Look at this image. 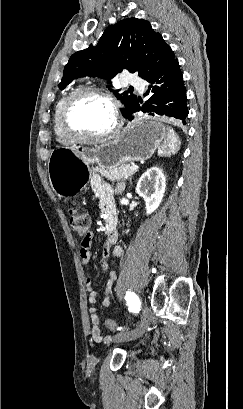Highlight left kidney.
<instances>
[{"instance_id": "obj_1", "label": "left kidney", "mask_w": 243, "mask_h": 409, "mask_svg": "<svg viewBox=\"0 0 243 409\" xmlns=\"http://www.w3.org/2000/svg\"><path fill=\"white\" fill-rule=\"evenodd\" d=\"M166 188V179L158 167L148 169L136 186V193L146 204V214L153 213L161 204Z\"/></svg>"}]
</instances>
